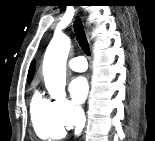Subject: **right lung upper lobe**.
<instances>
[{
	"instance_id": "obj_1",
	"label": "right lung upper lobe",
	"mask_w": 155,
	"mask_h": 141,
	"mask_svg": "<svg viewBox=\"0 0 155 141\" xmlns=\"http://www.w3.org/2000/svg\"><path fill=\"white\" fill-rule=\"evenodd\" d=\"M33 74H34V66L31 65L28 71V82L31 81Z\"/></svg>"
}]
</instances>
